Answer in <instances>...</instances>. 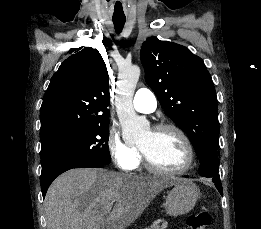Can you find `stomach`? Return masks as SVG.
I'll list each match as a JSON object with an SVG mask.
<instances>
[{
    "mask_svg": "<svg viewBox=\"0 0 261 229\" xmlns=\"http://www.w3.org/2000/svg\"><path fill=\"white\" fill-rule=\"evenodd\" d=\"M171 187L165 203L167 215L178 217V215H186V213L192 211L195 203L200 199L198 187L187 179L171 181Z\"/></svg>",
    "mask_w": 261,
    "mask_h": 229,
    "instance_id": "0dacf381",
    "label": "stomach"
}]
</instances>
